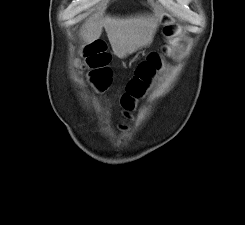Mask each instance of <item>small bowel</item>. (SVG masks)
I'll use <instances>...</instances> for the list:
<instances>
[{"label": "small bowel", "instance_id": "small-bowel-1", "mask_svg": "<svg viewBox=\"0 0 245 225\" xmlns=\"http://www.w3.org/2000/svg\"><path fill=\"white\" fill-rule=\"evenodd\" d=\"M110 62V59H109V57H108V63Z\"/></svg>", "mask_w": 245, "mask_h": 225}]
</instances>
